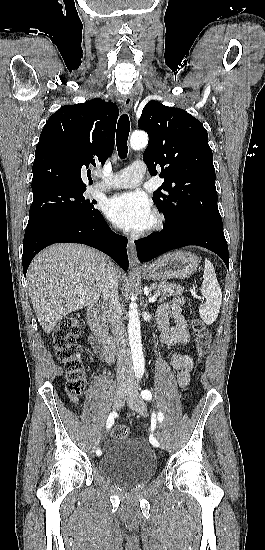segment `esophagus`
<instances>
[{
    "instance_id": "34e87169",
    "label": "esophagus",
    "mask_w": 265,
    "mask_h": 550,
    "mask_svg": "<svg viewBox=\"0 0 265 550\" xmlns=\"http://www.w3.org/2000/svg\"><path fill=\"white\" fill-rule=\"evenodd\" d=\"M123 105L127 111L132 109L133 97L131 94H127L124 96ZM128 256H129L130 265L132 267H135L137 265V257H136L135 244L133 240H128Z\"/></svg>"
}]
</instances>
